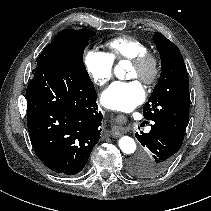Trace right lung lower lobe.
I'll return each mask as SVG.
<instances>
[{"mask_svg": "<svg viewBox=\"0 0 211 211\" xmlns=\"http://www.w3.org/2000/svg\"><path fill=\"white\" fill-rule=\"evenodd\" d=\"M26 90L27 126L34 150L51 170L74 175L100 139L102 114L91 80L54 55H40Z\"/></svg>", "mask_w": 211, "mask_h": 211, "instance_id": "right-lung-lower-lobe-1", "label": "right lung lower lobe"}]
</instances>
